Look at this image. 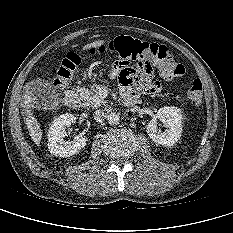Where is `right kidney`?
<instances>
[{
	"label": "right kidney",
	"mask_w": 233,
	"mask_h": 233,
	"mask_svg": "<svg viewBox=\"0 0 233 233\" xmlns=\"http://www.w3.org/2000/svg\"><path fill=\"white\" fill-rule=\"evenodd\" d=\"M74 115L62 114L52 122L48 131V149L52 155L59 157H70L81 151L87 144V137L76 136L72 141H65L66 132L64 128L74 122Z\"/></svg>",
	"instance_id": "1"
}]
</instances>
